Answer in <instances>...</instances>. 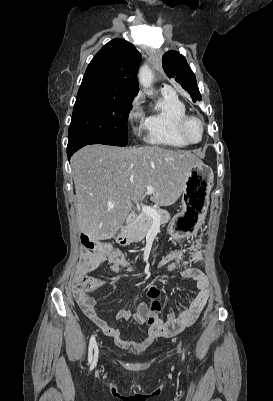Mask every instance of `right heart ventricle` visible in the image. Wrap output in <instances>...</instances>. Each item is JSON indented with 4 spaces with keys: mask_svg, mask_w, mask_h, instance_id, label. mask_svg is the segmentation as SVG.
Returning <instances> with one entry per match:
<instances>
[{
    "mask_svg": "<svg viewBox=\"0 0 273 401\" xmlns=\"http://www.w3.org/2000/svg\"><path fill=\"white\" fill-rule=\"evenodd\" d=\"M143 113L149 143L176 148L188 146L176 133L177 123L189 115L187 105L177 94L162 93Z\"/></svg>",
    "mask_w": 273,
    "mask_h": 401,
    "instance_id": "1",
    "label": "right heart ventricle"
}]
</instances>
